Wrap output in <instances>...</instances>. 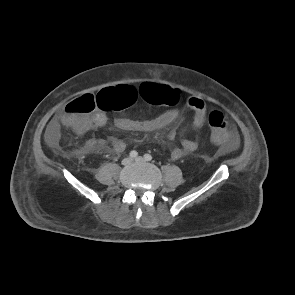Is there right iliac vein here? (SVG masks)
I'll list each match as a JSON object with an SVG mask.
<instances>
[{
    "mask_svg": "<svg viewBox=\"0 0 295 295\" xmlns=\"http://www.w3.org/2000/svg\"><path fill=\"white\" fill-rule=\"evenodd\" d=\"M132 162V159L130 157L124 158L122 160L123 165H129Z\"/></svg>",
    "mask_w": 295,
    "mask_h": 295,
    "instance_id": "right-iliac-vein-1",
    "label": "right iliac vein"
}]
</instances>
